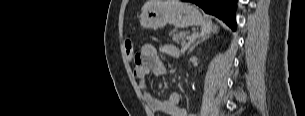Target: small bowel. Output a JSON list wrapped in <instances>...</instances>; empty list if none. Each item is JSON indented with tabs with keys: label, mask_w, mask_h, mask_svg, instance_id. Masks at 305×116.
I'll list each match as a JSON object with an SVG mask.
<instances>
[{
	"label": "small bowel",
	"mask_w": 305,
	"mask_h": 116,
	"mask_svg": "<svg viewBox=\"0 0 305 116\" xmlns=\"http://www.w3.org/2000/svg\"><path fill=\"white\" fill-rule=\"evenodd\" d=\"M159 52L176 56L177 49L172 45H161L156 48L154 45L145 44L136 58V66L133 73L142 92L143 99L149 110L154 114L157 112L165 113L168 116H194L183 105L182 96L174 92L168 100H160L147 91L146 76L154 74L162 76L166 71L164 62L159 57Z\"/></svg>",
	"instance_id": "obj_1"
}]
</instances>
